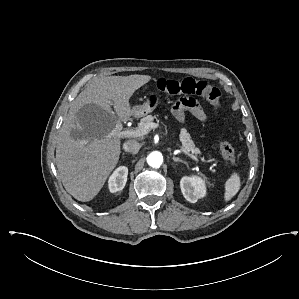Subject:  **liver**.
<instances>
[{"label": "liver", "instance_id": "liver-1", "mask_svg": "<svg viewBox=\"0 0 299 299\" xmlns=\"http://www.w3.org/2000/svg\"><path fill=\"white\" fill-rule=\"evenodd\" d=\"M150 79L138 74L97 78L72 102L59 132L56 165L64 188L78 201L92 200L116 167L121 140L109 134L117 119L130 120L129 100Z\"/></svg>", "mask_w": 299, "mask_h": 299}]
</instances>
